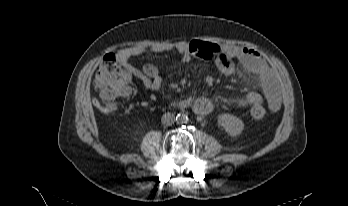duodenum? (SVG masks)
Returning <instances> with one entry per match:
<instances>
[{
    "label": "duodenum",
    "mask_w": 348,
    "mask_h": 206,
    "mask_svg": "<svg viewBox=\"0 0 348 206\" xmlns=\"http://www.w3.org/2000/svg\"><path fill=\"white\" fill-rule=\"evenodd\" d=\"M191 105L198 113H206L209 110L207 102L202 99H194Z\"/></svg>",
    "instance_id": "duodenum-1"
}]
</instances>
